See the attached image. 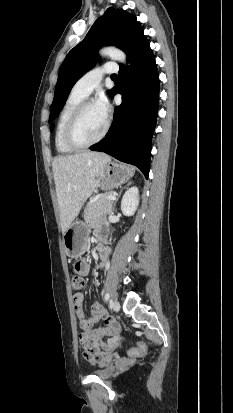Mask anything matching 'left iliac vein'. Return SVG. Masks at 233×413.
<instances>
[{
    "label": "left iliac vein",
    "instance_id": "left-iliac-vein-1",
    "mask_svg": "<svg viewBox=\"0 0 233 413\" xmlns=\"http://www.w3.org/2000/svg\"><path fill=\"white\" fill-rule=\"evenodd\" d=\"M111 306L114 311H119L120 310V303L117 300H112L111 301Z\"/></svg>",
    "mask_w": 233,
    "mask_h": 413
}]
</instances>
